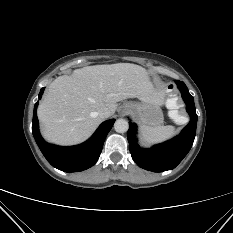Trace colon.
<instances>
[{"label":"colon","instance_id":"1","mask_svg":"<svg viewBox=\"0 0 233 233\" xmlns=\"http://www.w3.org/2000/svg\"><path fill=\"white\" fill-rule=\"evenodd\" d=\"M168 109L171 117L175 121H181L182 116L178 108V100L175 96L171 95L167 101Z\"/></svg>","mask_w":233,"mask_h":233}]
</instances>
